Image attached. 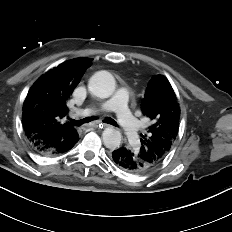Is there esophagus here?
<instances>
[{"label":"esophagus","instance_id":"obj_1","mask_svg":"<svg viewBox=\"0 0 232 232\" xmlns=\"http://www.w3.org/2000/svg\"><path fill=\"white\" fill-rule=\"evenodd\" d=\"M91 126L94 127V128H106V127H110V125H108V124L98 123V122L91 123Z\"/></svg>","mask_w":232,"mask_h":232}]
</instances>
